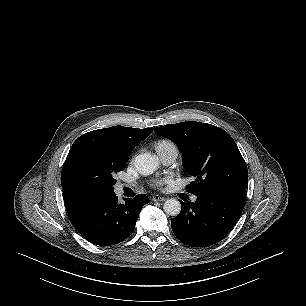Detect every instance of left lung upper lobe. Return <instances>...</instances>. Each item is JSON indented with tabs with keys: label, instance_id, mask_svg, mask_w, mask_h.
<instances>
[{
	"label": "left lung upper lobe",
	"instance_id": "left-lung-upper-lobe-1",
	"mask_svg": "<svg viewBox=\"0 0 306 306\" xmlns=\"http://www.w3.org/2000/svg\"><path fill=\"white\" fill-rule=\"evenodd\" d=\"M174 141L184 157L186 171L196 178L186 191L196 196L231 194L245 198L246 163L233 138L208 123L186 121L154 128Z\"/></svg>",
	"mask_w": 306,
	"mask_h": 306
}]
</instances>
